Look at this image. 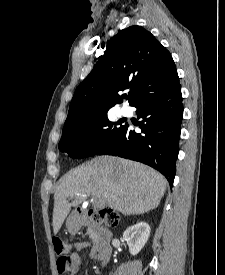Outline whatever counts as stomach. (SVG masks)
Here are the masks:
<instances>
[{
	"mask_svg": "<svg viewBox=\"0 0 225 275\" xmlns=\"http://www.w3.org/2000/svg\"><path fill=\"white\" fill-rule=\"evenodd\" d=\"M67 227H68V229H69L70 231H72V232H73V231H76V230L79 228V226H77V225H76V226H72V225H71V220H70V219L68 220Z\"/></svg>",
	"mask_w": 225,
	"mask_h": 275,
	"instance_id": "0dacf381",
	"label": "stomach"
}]
</instances>
